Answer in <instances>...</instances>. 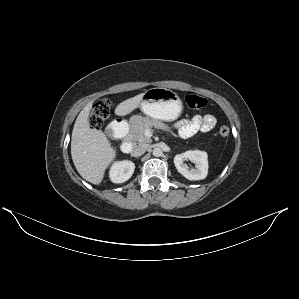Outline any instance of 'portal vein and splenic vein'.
<instances>
[{
	"mask_svg": "<svg viewBox=\"0 0 299 299\" xmlns=\"http://www.w3.org/2000/svg\"><path fill=\"white\" fill-rule=\"evenodd\" d=\"M145 135L150 138L152 136V132L150 130H146Z\"/></svg>",
	"mask_w": 299,
	"mask_h": 299,
	"instance_id": "obj_1",
	"label": "portal vein and splenic vein"
}]
</instances>
